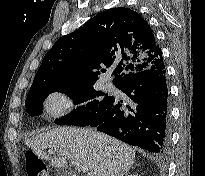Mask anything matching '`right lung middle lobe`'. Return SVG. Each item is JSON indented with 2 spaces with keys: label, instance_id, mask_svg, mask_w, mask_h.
Listing matches in <instances>:
<instances>
[{
  "label": "right lung middle lobe",
  "instance_id": "obj_1",
  "mask_svg": "<svg viewBox=\"0 0 205 176\" xmlns=\"http://www.w3.org/2000/svg\"><path fill=\"white\" fill-rule=\"evenodd\" d=\"M54 91H60L76 98L78 104L84 103L77 107L70 116L56 120L58 125L87 126L97 111L112 99L110 96H105L102 100L96 99L97 96L104 94L95 91L93 84L48 85L28 93L25 101L28 114L31 116L40 115L44 99Z\"/></svg>",
  "mask_w": 205,
  "mask_h": 176
}]
</instances>
